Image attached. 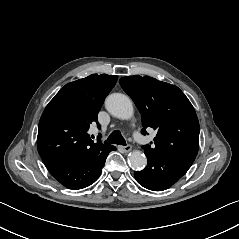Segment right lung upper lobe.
Segmentation results:
<instances>
[{"instance_id": "1", "label": "right lung upper lobe", "mask_w": 239, "mask_h": 239, "mask_svg": "<svg viewBox=\"0 0 239 239\" xmlns=\"http://www.w3.org/2000/svg\"><path fill=\"white\" fill-rule=\"evenodd\" d=\"M117 76L90 75L66 84L45 108L38 127L37 147L43 161L87 155L107 144L96 143L87 131L96 122Z\"/></svg>"}]
</instances>
